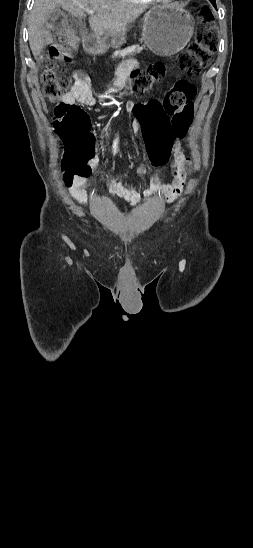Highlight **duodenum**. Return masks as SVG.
Instances as JSON below:
<instances>
[{
	"instance_id": "410a0bca",
	"label": "duodenum",
	"mask_w": 253,
	"mask_h": 548,
	"mask_svg": "<svg viewBox=\"0 0 253 548\" xmlns=\"http://www.w3.org/2000/svg\"><path fill=\"white\" fill-rule=\"evenodd\" d=\"M88 45H89V46H92V45H93V43H92V42H89V43H88Z\"/></svg>"
}]
</instances>
